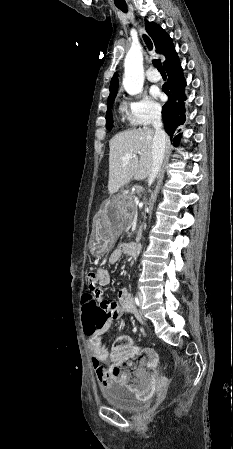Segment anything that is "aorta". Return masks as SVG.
<instances>
[{"instance_id": "1", "label": "aorta", "mask_w": 233, "mask_h": 449, "mask_svg": "<svg viewBox=\"0 0 233 449\" xmlns=\"http://www.w3.org/2000/svg\"><path fill=\"white\" fill-rule=\"evenodd\" d=\"M123 86L130 95L142 92L144 84L143 55L141 47H131L124 61Z\"/></svg>"}]
</instances>
